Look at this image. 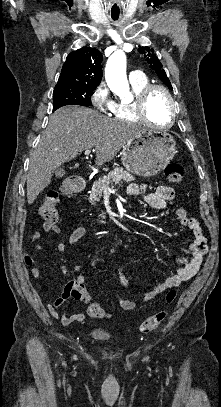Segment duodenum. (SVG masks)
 Instances as JSON below:
<instances>
[{"label": "duodenum", "instance_id": "410a0bca", "mask_svg": "<svg viewBox=\"0 0 221 407\" xmlns=\"http://www.w3.org/2000/svg\"><path fill=\"white\" fill-rule=\"evenodd\" d=\"M84 186H85L84 183H71L63 188V192L65 195L71 196L74 193L81 191L84 188Z\"/></svg>", "mask_w": 221, "mask_h": 407}]
</instances>
